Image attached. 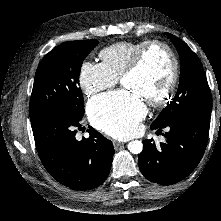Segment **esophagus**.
Here are the masks:
<instances>
[{
  "label": "esophagus",
  "mask_w": 221,
  "mask_h": 221,
  "mask_svg": "<svg viewBox=\"0 0 221 221\" xmlns=\"http://www.w3.org/2000/svg\"><path fill=\"white\" fill-rule=\"evenodd\" d=\"M112 143H113V146L115 149H118L120 146H122L124 144V143L116 141V140H113Z\"/></svg>",
  "instance_id": "34e87169"
}]
</instances>
